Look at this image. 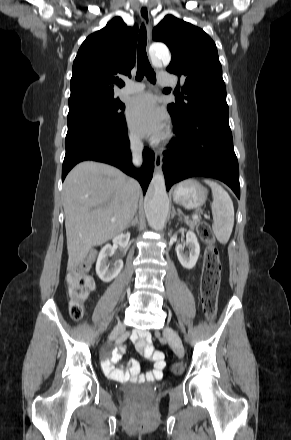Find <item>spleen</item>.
Wrapping results in <instances>:
<instances>
[{"label": "spleen", "mask_w": 291, "mask_h": 440, "mask_svg": "<svg viewBox=\"0 0 291 440\" xmlns=\"http://www.w3.org/2000/svg\"><path fill=\"white\" fill-rule=\"evenodd\" d=\"M204 182L208 184L212 190V229L217 240L221 244H226L231 236L234 225L233 202L225 189L217 182L207 179H205Z\"/></svg>", "instance_id": "1"}]
</instances>
